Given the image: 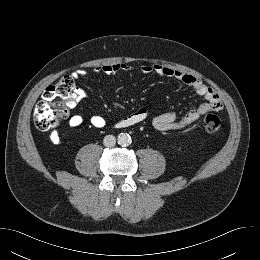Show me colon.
Wrapping results in <instances>:
<instances>
[{"mask_svg":"<svg viewBox=\"0 0 260 260\" xmlns=\"http://www.w3.org/2000/svg\"><path fill=\"white\" fill-rule=\"evenodd\" d=\"M76 100L73 78L69 75L61 77L45 89L42 99L37 103L33 114L35 126L42 131L55 129L66 115L67 107ZM202 127L208 133H217L221 120L216 114H206L202 119Z\"/></svg>","mask_w":260,"mask_h":260,"instance_id":"obj_1","label":"colon"}]
</instances>
